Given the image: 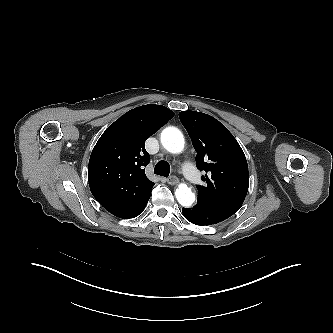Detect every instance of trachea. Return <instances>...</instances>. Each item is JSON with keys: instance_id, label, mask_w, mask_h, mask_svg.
<instances>
[{"instance_id": "1", "label": "trachea", "mask_w": 333, "mask_h": 333, "mask_svg": "<svg viewBox=\"0 0 333 333\" xmlns=\"http://www.w3.org/2000/svg\"><path fill=\"white\" fill-rule=\"evenodd\" d=\"M154 173L159 176L168 177L170 173V165L166 161H159L155 168Z\"/></svg>"}]
</instances>
